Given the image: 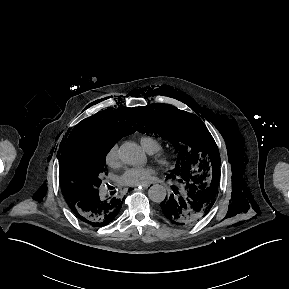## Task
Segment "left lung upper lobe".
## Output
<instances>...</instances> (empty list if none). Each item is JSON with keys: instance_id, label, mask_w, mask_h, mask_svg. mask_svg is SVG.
<instances>
[{"instance_id": "obj_1", "label": "left lung upper lobe", "mask_w": 289, "mask_h": 289, "mask_svg": "<svg viewBox=\"0 0 289 289\" xmlns=\"http://www.w3.org/2000/svg\"><path fill=\"white\" fill-rule=\"evenodd\" d=\"M141 121L137 130L168 139L179 153L176 168L168 178L182 183L187 178L219 180L220 155L202 120L176 107L157 103L136 108Z\"/></svg>"}]
</instances>
